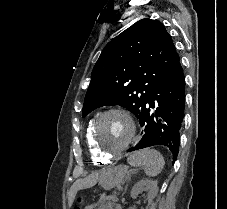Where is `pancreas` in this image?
Instances as JSON below:
<instances>
[{
  "instance_id": "obj_1",
  "label": "pancreas",
  "mask_w": 227,
  "mask_h": 209,
  "mask_svg": "<svg viewBox=\"0 0 227 209\" xmlns=\"http://www.w3.org/2000/svg\"><path fill=\"white\" fill-rule=\"evenodd\" d=\"M107 199H111V197H107ZM101 206L100 209H114L115 205L113 203H103Z\"/></svg>"
}]
</instances>
